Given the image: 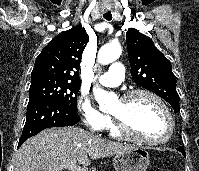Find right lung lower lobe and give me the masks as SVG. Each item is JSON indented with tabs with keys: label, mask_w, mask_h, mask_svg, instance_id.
<instances>
[{
	"label": "right lung lower lobe",
	"mask_w": 199,
	"mask_h": 171,
	"mask_svg": "<svg viewBox=\"0 0 199 171\" xmlns=\"http://www.w3.org/2000/svg\"><path fill=\"white\" fill-rule=\"evenodd\" d=\"M80 120L77 112L59 101L37 96L29 99L26 123L19 139L20 147L28 138L50 127L72 126Z\"/></svg>",
	"instance_id": "98d812e1"
}]
</instances>
